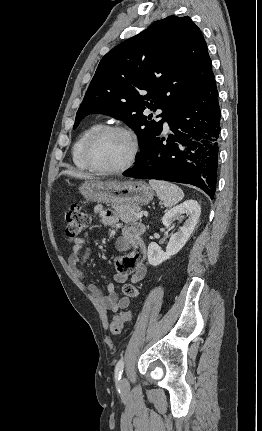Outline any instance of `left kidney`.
<instances>
[{"label":"left kidney","instance_id":"left-kidney-1","mask_svg":"<svg viewBox=\"0 0 262 431\" xmlns=\"http://www.w3.org/2000/svg\"><path fill=\"white\" fill-rule=\"evenodd\" d=\"M201 213V207L195 200H188L170 210L162 218L164 226L169 227L173 221L185 219V223L173 234L166 247V252L161 250L157 243L152 242L148 246V262L152 266H158L162 262L177 254L190 238Z\"/></svg>","mask_w":262,"mask_h":431}]
</instances>
